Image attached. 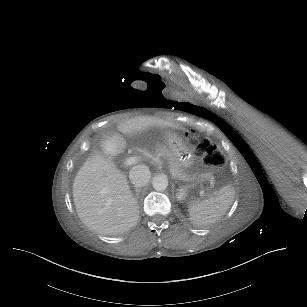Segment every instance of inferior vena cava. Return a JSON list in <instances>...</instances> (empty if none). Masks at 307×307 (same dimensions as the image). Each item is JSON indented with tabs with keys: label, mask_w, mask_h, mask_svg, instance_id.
Here are the masks:
<instances>
[{
	"label": "inferior vena cava",
	"mask_w": 307,
	"mask_h": 307,
	"mask_svg": "<svg viewBox=\"0 0 307 307\" xmlns=\"http://www.w3.org/2000/svg\"><path fill=\"white\" fill-rule=\"evenodd\" d=\"M151 172L145 165H136L129 172V179L135 187H144L150 181Z\"/></svg>",
	"instance_id": "obj_1"
}]
</instances>
